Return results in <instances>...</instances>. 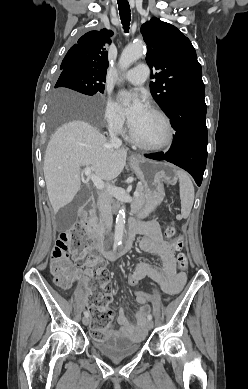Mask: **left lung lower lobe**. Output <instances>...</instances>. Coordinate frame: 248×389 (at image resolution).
I'll list each match as a JSON object with an SVG mask.
<instances>
[{
  "label": "left lung lower lobe",
  "instance_id": "obj_1",
  "mask_svg": "<svg viewBox=\"0 0 248 389\" xmlns=\"http://www.w3.org/2000/svg\"><path fill=\"white\" fill-rule=\"evenodd\" d=\"M204 98V91H196L178 99L166 112L176 131L170 150L145 155L185 169L198 186L201 185L207 162V106Z\"/></svg>",
  "mask_w": 248,
  "mask_h": 389
}]
</instances>
